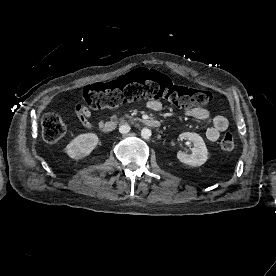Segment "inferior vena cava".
Segmentation results:
<instances>
[{
    "mask_svg": "<svg viewBox=\"0 0 276 276\" xmlns=\"http://www.w3.org/2000/svg\"><path fill=\"white\" fill-rule=\"evenodd\" d=\"M130 131V126L128 124H123L119 127V132L121 134H126Z\"/></svg>",
    "mask_w": 276,
    "mask_h": 276,
    "instance_id": "obj_1",
    "label": "inferior vena cava"
}]
</instances>
